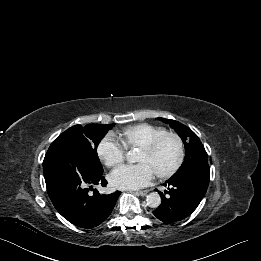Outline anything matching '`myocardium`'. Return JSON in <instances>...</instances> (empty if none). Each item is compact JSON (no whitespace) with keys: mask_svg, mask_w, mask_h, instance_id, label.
<instances>
[{"mask_svg":"<svg viewBox=\"0 0 261 261\" xmlns=\"http://www.w3.org/2000/svg\"><path fill=\"white\" fill-rule=\"evenodd\" d=\"M168 137H172L177 141L178 144V156L177 159L175 161V163L166 171L158 173L157 176L159 178L165 179V178H169L172 175H174L182 166L184 159H185V147H184V143L182 138L175 132H171V131H166L160 135H158L156 138H154L152 141H150L149 143H147L146 145L142 146L139 151L149 154V153H153L158 146L160 145V143Z\"/></svg>","mask_w":261,"mask_h":261,"instance_id":"1","label":"myocardium"}]
</instances>
